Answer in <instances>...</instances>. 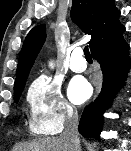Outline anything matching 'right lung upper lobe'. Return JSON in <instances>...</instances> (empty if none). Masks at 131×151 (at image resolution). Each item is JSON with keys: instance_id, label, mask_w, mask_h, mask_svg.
Returning a JSON list of instances; mask_svg holds the SVG:
<instances>
[{"instance_id": "obj_1", "label": "right lung upper lobe", "mask_w": 131, "mask_h": 151, "mask_svg": "<svg viewBox=\"0 0 131 151\" xmlns=\"http://www.w3.org/2000/svg\"><path fill=\"white\" fill-rule=\"evenodd\" d=\"M114 1H72L71 19L83 32L91 36L89 41L91 52L125 29L119 21L120 11L115 7ZM45 39L44 24L35 26L26 36L17 66L14 90L25 86L30 69Z\"/></svg>"}]
</instances>
